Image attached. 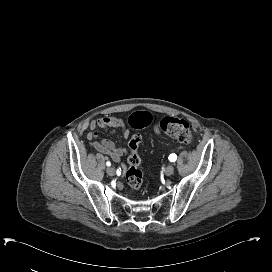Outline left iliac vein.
I'll list each match as a JSON object with an SVG mask.
<instances>
[{
    "instance_id": "obj_1",
    "label": "left iliac vein",
    "mask_w": 272,
    "mask_h": 272,
    "mask_svg": "<svg viewBox=\"0 0 272 272\" xmlns=\"http://www.w3.org/2000/svg\"><path fill=\"white\" fill-rule=\"evenodd\" d=\"M173 172H174V166L171 165V164L168 165V166L165 168V171H164V173H165L166 176L172 175Z\"/></svg>"
}]
</instances>
